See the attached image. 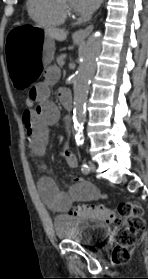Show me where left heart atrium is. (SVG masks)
Instances as JSON below:
<instances>
[{"instance_id": "obj_1", "label": "left heart atrium", "mask_w": 148, "mask_h": 279, "mask_svg": "<svg viewBox=\"0 0 148 279\" xmlns=\"http://www.w3.org/2000/svg\"><path fill=\"white\" fill-rule=\"evenodd\" d=\"M100 2L101 0H73V6L82 14H91Z\"/></svg>"}]
</instances>
